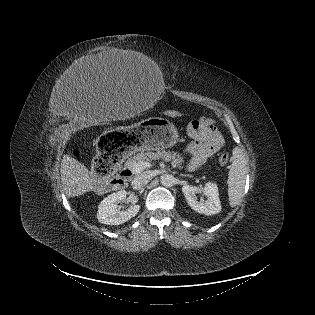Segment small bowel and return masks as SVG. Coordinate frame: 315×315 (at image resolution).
<instances>
[{
  "label": "small bowel",
  "instance_id": "c3829d8e",
  "mask_svg": "<svg viewBox=\"0 0 315 315\" xmlns=\"http://www.w3.org/2000/svg\"><path fill=\"white\" fill-rule=\"evenodd\" d=\"M187 132L192 140L186 147V152L190 155V169L201 166L223 147V138L210 119L192 121Z\"/></svg>",
  "mask_w": 315,
  "mask_h": 315
}]
</instances>
